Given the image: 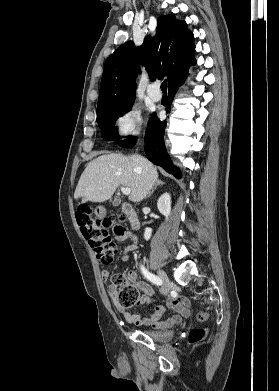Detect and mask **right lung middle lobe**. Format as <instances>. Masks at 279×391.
I'll return each instance as SVG.
<instances>
[{"label": "right lung middle lobe", "instance_id": "right-lung-middle-lobe-1", "mask_svg": "<svg viewBox=\"0 0 279 391\" xmlns=\"http://www.w3.org/2000/svg\"><path fill=\"white\" fill-rule=\"evenodd\" d=\"M133 105L132 103L119 106V107H114V108H109L106 109L102 112L97 113V122L101 124V133L102 137L105 140H115L118 141L117 139V128L114 127L115 121L124 113L130 111L131 106Z\"/></svg>", "mask_w": 279, "mask_h": 391}]
</instances>
